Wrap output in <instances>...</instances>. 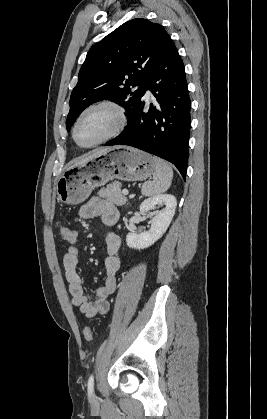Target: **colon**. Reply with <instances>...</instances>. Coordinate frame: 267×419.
I'll return each mask as SVG.
<instances>
[{"label":"colon","mask_w":267,"mask_h":419,"mask_svg":"<svg viewBox=\"0 0 267 419\" xmlns=\"http://www.w3.org/2000/svg\"><path fill=\"white\" fill-rule=\"evenodd\" d=\"M60 235H61V238L68 244H72L76 242V238H77L76 232L73 229L63 224L60 226ZM83 335L86 340L88 341L91 340L93 337L92 328L90 326L84 327Z\"/></svg>","instance_id":"colon-1"}]
</instances>
